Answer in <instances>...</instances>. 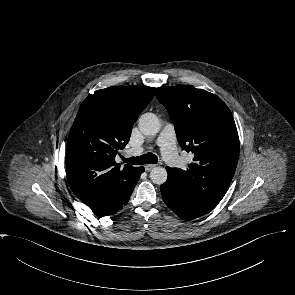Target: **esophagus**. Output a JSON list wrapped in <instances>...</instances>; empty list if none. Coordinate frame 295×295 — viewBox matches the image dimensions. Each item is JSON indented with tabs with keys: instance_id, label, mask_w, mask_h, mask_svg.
<instances>
[{
	"instance_id": "1",
	"label": "esophagus",
	"mask_w": 295,
	"mask_h": 295,
	"mask_svg": "<svg viewBox=\"0 0 295 295\" xmlns=\"http://www.w3.org/2000/svg\"><path fill=\"white\" fill-rule=\"evenodd\" d=\"M155 167H156V165H154V164H147V165H145V170L146 171H151Z\"/></svg>"
}]
</instances>
